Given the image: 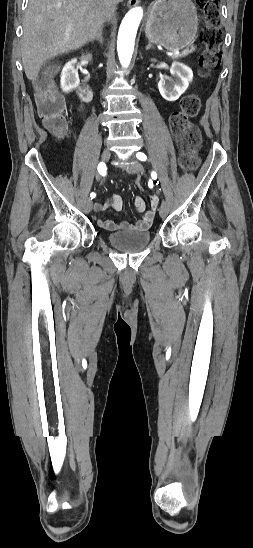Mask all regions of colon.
Segmentation results:
<instances>
[{"instance_id":"obj_1","label":"colon","mask_w":253,"mask_h":548,"mask_svg":"<svg viewBox=\"0 0 253 548\" xmlns=\"http://www.w3.org/2000/svg\"><path fill=\"white\" fill-rule=\"evenodd\" d=\"M204 18L205 27L201 32V39L205 49L200 56V70L206 75L219 66L221 62L220 45L222 31L220 28L218 0H197ZM38 114L45 126L57 133H63L66 127L65 101L57 91L49 75L38 77L33 84ZM202 106V100L196 92L186 94L180 108L170 117V128L176 136L180 149V165L184 170H195L200 163L199 150L201 134L191 122ZM142 177L136 176V189L145 193L147 188L142 183Z\"/></svg>"}]
</instances>
